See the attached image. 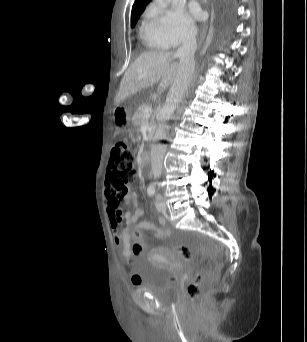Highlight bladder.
I'll use <instances>...</instances> for the list:
<instances>
[{
	"instance_id": "obj_1",
	"label": "bladder",
	"mask_w": 307,
	"mask_h": 342,
	"mask_svg": "<svg viewBox=\"0 0 307 342\" xmlns=\"http://www.w3.org/2000/svg\"><path fill=\"white\" fill-rule=\"evenodd\" d=\"M178 287L175 273L168 267L152 264L141 274L139 288L155 297L166 299Z\"/></svg>"
}]
</instances>
